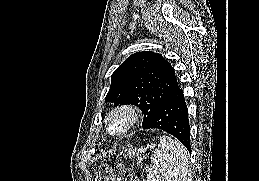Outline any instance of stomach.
<instances>
[{"label":"stomach","mask_w":259,"mask_h":181,"mask_svg":"<svg viewBox=\"0 0 259 181\" xmlns=\"http://www.w3.org/2000/svg\"><path fill=\"white\" fill-rule=\"evenodd\" d=\"M143 152L142 148H133L131 150L128 151L127 156L131 157H135V156H139L141 153Z\"/></svg>","instance_id":"obj_1"}]
</instances>
